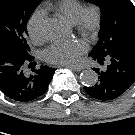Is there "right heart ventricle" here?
I'll use <instances>...</instances> for the list:
<instances>
[{"label": "right heart ventricle", "instance_id": "right-heart-ventricle-1", "mask_svg": "<svg viewBox=\"0 0 135 135\" xmlns=\"http://www.w3.org/2000/svg\"><path fill=\"white\" fill-rule=\"evenodd\" d=\"M48 6L66 21L75 23L84 5L80 0H58Z\"/></svg>", "mask_w": 135, "mask_h": 135}]
</instances>
